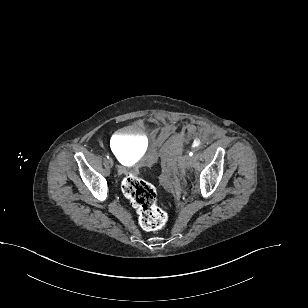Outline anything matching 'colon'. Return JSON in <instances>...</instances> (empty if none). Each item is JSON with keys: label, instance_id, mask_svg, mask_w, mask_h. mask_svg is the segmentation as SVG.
Masks as SVG:
<instances>
[{"label": "colon", "instance_id": "1", "mask_svg": "<svg viewBox=\"0 0 308 308\" xmlns=\"http://www.w3.org/2000/svg\"><path fill=\"white\" fill-rule=\"evenodd\" d=\"M122 191L136 209L143 229L155 231L166 225L168 213L158 206L156 190L151 183L129 173L122 181Z\"/></svg>", "mask_w": 308, "mask_h": 308}]
</instances>
